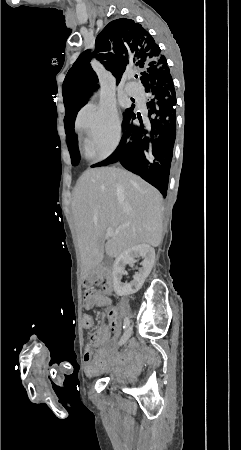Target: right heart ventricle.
I'll return each instance as SVG.
<instances>
[{
  "instance_id": "obj_1",
  "label": "right heart ventricle",
  "mask_w": 241,
  "mask_h": 450,
  "mask_svg": "<svg viewBox=\"0 0 241 450\" xmlns=\"http://www.w3.org/2000/svg\"><path fill=\"white\" fill-rule=\"evenodd\" d=\"M83 116H86V115H83ZM78 132H79V141H80V145H81V148H82V150L84 151V148H85V139H87L86 138V130H78ZM88 141V140H87ZM89 159H91V160H95L96 158H94L92 155H86Z\"/></svg>"
}]
</instances>
